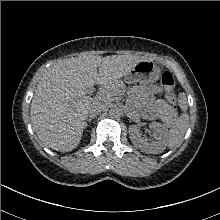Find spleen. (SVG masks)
<instances>
[{"label":"spleen","instance_id":"obj_1","mask_svg":"<svg viewBox=\"0 0 220 220\" xmlns=\"http://www.w3.org/2000/svg\"><path fill=\"white\" fill-rule=\"evenodd\" d=\"M179 105L182 111L187 110V101L184 94L179 96ZM189 124V115L187 113H183L181 116L175 118L172 121L170 131L168 132V136L166 139L167 145L169 148L177 147L181 144L182 139L187 131Z\"/></svg>","mask_w":220,"mask_h":220}]
</instances>
